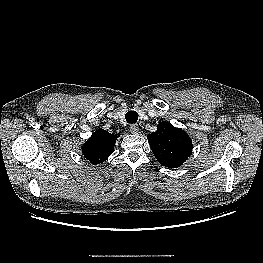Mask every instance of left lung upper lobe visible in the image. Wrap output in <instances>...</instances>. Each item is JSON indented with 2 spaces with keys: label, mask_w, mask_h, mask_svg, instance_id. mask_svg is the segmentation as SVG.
I'll return each instance as SVG.
<instances>
[{
  "label": "left lung upper lobe",
  "mask_w": 263,
  "mask_h": 263,
  "mask_svg": "<svg viewBox=\"0 0 263 263\" xmlns=\"http://www.w3.org/2000/svg\"><path fill=\"white\" fill-rule=\"evenodd\" d=\"M147 139L158 162L168 168L181 166L192 152L188 134L169 122H160L157 131L149 134Z\"/></svg>",
  "instance_id": "1"
}]
</instances>
